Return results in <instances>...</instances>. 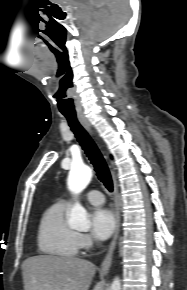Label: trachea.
Masks as SVG:
<instances>
[{"label":"trachea","instance_id":"1","mask_svg":"<svg viewBox=\"0 0 187 290\" xmlns=\"http://www.w3.org/2000/svg\"><path fill=\"white\" fill-rule=\"evenodd\" d=\"M68 121V124L75 134L78 142L80 143L85 154L89 158L90 162L94 166L98 179L104 184V186L110 191H113V181L107 166V163L98 149L97 145L87 133V131L79 123L75 113H63Z\"/></svg>","mask_w":187,"mask_h":290}]
</instances>
